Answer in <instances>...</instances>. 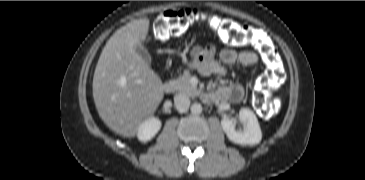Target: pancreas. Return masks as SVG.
<instances>
[{"mask_svg":"<svg viewBox=\"0 0 365 180\" xmlns=\"http://www.w3.org/2000/svg\"><path fill=\"white\" fill-rule=\"evenodd\" d=\"M191 75L189 71H185L178 79L173 80L175 90L190 97H195L199 94L197 87L193 86L190 82Z\"/></svg>","mask_w":365,"mask_h":180,"instance_id":"cf45deb5","label":"pancreas"}]
</instances>
